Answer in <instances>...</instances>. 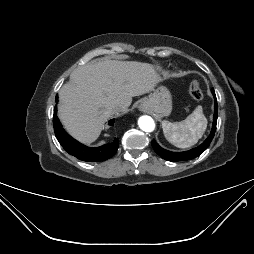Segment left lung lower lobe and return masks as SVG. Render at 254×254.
<instances>
[{
  "label": "left lung lower lobe",
  "mask_w": 254,
  "mask_h": 254,
  "mask_svg": "<svg viewBox=\"0 0 254 254\" xmlns=\"http://www.w3.org/2000/svg\"><path fill=\"white\" fill-rule=\"evenodd\" d=\"M211 91L215 100V104H214L215 111H214V117H213V127L208 138L200 146L185 152H171V151L165 150L161 148L156 143L155 140H152V147L159 156H161L165 160L172 161V162L186 161V160H190V159L198 157L209 147L216 131L217 117H218V105H217L216 95L213 88L211 89Z\"/></svg>",
  "instance_id": "0a47b994"
}]
</instances>
